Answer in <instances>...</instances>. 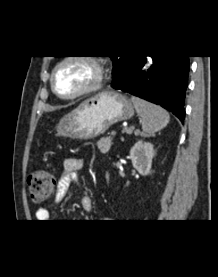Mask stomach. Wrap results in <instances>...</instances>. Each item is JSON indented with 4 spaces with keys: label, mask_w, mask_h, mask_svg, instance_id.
<instances>
[{
    "label": "stomach",
    "mask_w": 218,
    "mask_h": 277,
    "mask_svg": "<svg viewBox=\"0 0 218 277\" xmlns=\"http://www.w3.org/2000/svg\"><path fill=\"white\" fill-rule=\"evenodd\" d=\"M133 115L134 106L126 96L115 91H103L86 99L61 118L56 131L58 136L88 140Z\"/></svg>",
    "instance_id": "0dacf381"
}]
</instances>
